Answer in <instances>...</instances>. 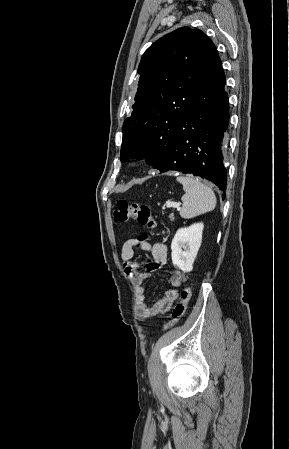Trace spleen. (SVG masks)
<instances>
[{
	"label": "spleen",
	"mask_w": 289,
	"mask_h": 449,
	"mask_svg": "<svg viewBox=\"0 0 289 449\" xmlns=\"http://www.w3.org/2000/svg\"><path fill=\"white\" fill-rule=\"evenodd\" d=\"M177 181L183 185L180 216L190 219L214 210L216 196L211 188L191 176H178Z\"/></svg>",
	"instance_id": "3e777b00"
}]
</instances>
